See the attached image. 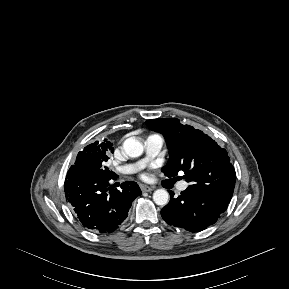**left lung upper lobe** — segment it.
Wrapping results in <instances>:
<instances>
[{
	"label": "left lung upper lobe",
	"mask_w": 289,
	"mask_h": 289,
	"mask_svg": "<svg viewBox=\"0 0 289 289\" xmlns=\"http://www.w3.org/2000/svg\"><path fill=\"white\" fill-rule=\"evenodd\" d=\"M146 124L165 137L170 154L162 168L166 176L175 177L184 171L189 188L230 202L236 173L225 149L202 131L183 125L176 118L151 119Z\"/></svg>",
	"instance_id": "left-lung-upper-lobe-1"
}]
</instances>
